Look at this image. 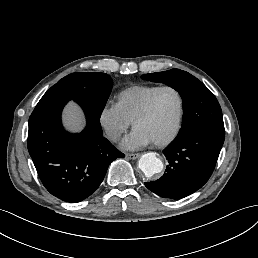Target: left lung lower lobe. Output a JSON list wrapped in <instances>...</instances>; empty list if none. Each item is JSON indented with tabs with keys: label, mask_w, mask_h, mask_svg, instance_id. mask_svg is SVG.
Wrapping results in <instances>:
<instances>
[{
	"label": "left lung lower lobe",
	"mask_w": 258,
	"mask_h": 258,
	"mask_svg": "<svg viewBox=\"0 0 258 258\" xmlns=\"http://www.w3.org/2000/svg\"><path fill=\"white\" fill-rule=\"evenodd\" d=\"M225 131L203 128L175 139L163 151L169 164L158 180L145 186L158 196L181 199L199 190L210 178L224 143Z\"/></svg>",
	"instance_id": "0a47b994"
}]
</instances>
